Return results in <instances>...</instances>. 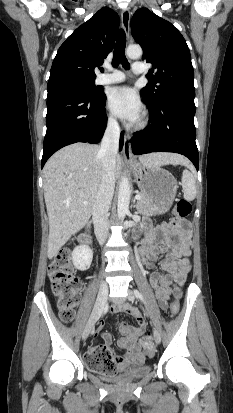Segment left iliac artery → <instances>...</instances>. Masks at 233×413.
<instances>
[{"label": "left iliac artery", "mask_w": 233, "mask_h": 413, "mask_svg": "<svg viewBox=\"0 0 233 413\" xmlns=\"http://www.w3.org/2000/svg\"><path fill=\"white\" fill-rule=\"evenodd\" d=\"M134 294L137 298H139L145 304V300H144L142 294L138 290L135 289Z\"/></svg>", "instance_id": "44dca946"}]
</instances>
